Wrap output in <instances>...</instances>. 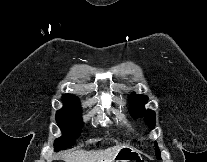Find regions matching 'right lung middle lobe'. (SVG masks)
<instances>
[{"label": "right lung middle lobe", "mask_w": 207, "mask_h": 162, "mask_svg": "<svg viewBox=\"0 0 207 162\" xmlns=\"http://www.w3.org/2000/svg\"><path fill=\"white\" fill-rule=\"evenodd\" d=\"M64 107L57 111L56 121L63 136L56 139L55 150L66 149L75 143V139L80 135L82 119L79 109L78 99H64Z\"/></svg>", "instance_id": "1"}]
</instances>
